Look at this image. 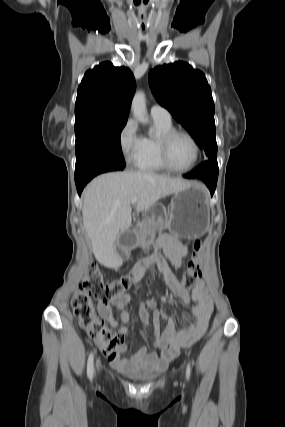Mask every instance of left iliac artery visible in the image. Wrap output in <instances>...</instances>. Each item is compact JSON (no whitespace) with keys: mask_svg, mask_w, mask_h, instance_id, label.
<instances>
[{"mask_svg":"<svg viewBox=\"0 0 285 427\" xmlns=\"http://www.w3.org/2000/svg\"><path fill=\"white\" fill-rule=\"evenodd\" d=\"M186 377H187V379L190 378V365L189 364L187 365V369H186Z\"/></svg>","mask_w":285,"mask_h":427,"instance_id":"1","label":"left iliac artery"}]
</instances>
